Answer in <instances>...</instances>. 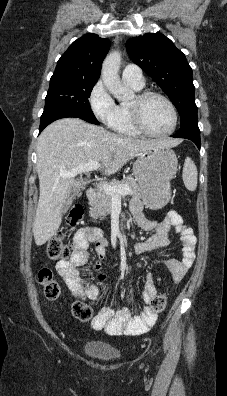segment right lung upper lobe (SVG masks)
<instances>
[{"label": "right lung upper lobe", "instance_id": "cb5924a9", "mask_svg": "<svg viewBox=\"0 0 227 396\" xmlns=\"http://www.w3.org/2000/svg\"><path fill=\"white\" fill-rule=\"evenodd\" d=\"M109 48V39L100 38L96 34H85L61 56L54 74L98 80Z\"/></svg>", "mask_w": 227, "mask_h": 396}]
</instances>
